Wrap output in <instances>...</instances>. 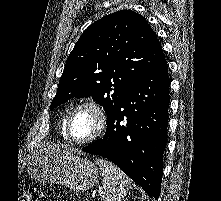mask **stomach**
Here are the masks:
<instances>
[{
	"instance_id": "0dacf381",
	"label": "stomach",
	"mask_w": 221,
	"mask_h": 201,
	"mask_svg": "<svg viewBox=\"0 0 221 201\" xmlns=\"http://www.w3.org/2000/svg\"><path fill=\"white\" fill-rule=\"evenodd\" d=\"M27 174L35 180L60 183L75 191L83 192L99 181L98 168L89 160L70 151L45 148L27 159Z\"/></svg>"
}]
</instances>
